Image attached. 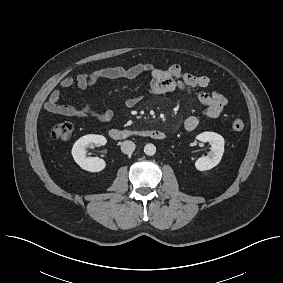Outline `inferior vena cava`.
Listing matches in <instances>:
<instances>
[{"label": "inferior vena cava", "instance_id": "obj_1", "mask_svg": "<svg viewBox=\"0 0 283 283\" xmlns=\"http://www.w3.org/2000/svg\"><path fill=\"white\" fill-rule=\"evenodd\" d=\"M135 143L132 142V141H129V140H126L124 142H122L121 144V151L124 153V154H132L135 150Z\"/></svg>", "mask_w": 283, "mask_h": 283}]
</instances>
